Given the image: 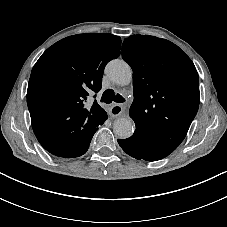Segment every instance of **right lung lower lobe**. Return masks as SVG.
<instances>
[{
	"label": "right lung lower lobe",
	"mask_w": 227,
	"mask_h": 227,
	"mask_svg": "<svg viewBox=\"0 0 227 227\" xmlns=\"http://www.w3.org/2000/svg\"><path fill=\"white\" fill-rule=\"evenodd\" d=\"M88 147H89V146H88ZM87 150H88V148L85 149V150H83L82 152H80L79 155L60 154V153H54V152H50V153L53 154V155L59 156V157L74 158V157H78V156L83 155Z\"/></svg>",
	"instance_id": "98d812e1"
}]
</instances>
